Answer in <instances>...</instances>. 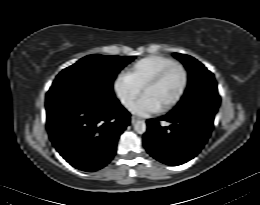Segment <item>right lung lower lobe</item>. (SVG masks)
<instances>
[{"label": "right lung lower lobe", "instance_id": "98d812e1", "mask_svg": "<svg viewBox=\"0 0 260 205\" xmlns=\"http://www.w3.org/2000/svg\"><path fill=\"white\" fill-rule=\"evenodd\" d=\"M47 129L60 155L83 171L104 167L130 123L119 101L69 86L51 87L46 96Z\"/></svg>", "mask_w": 260, "mask_h": 205}]
</instances>
